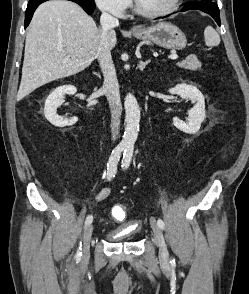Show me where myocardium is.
Here are the masks:
<instances>
[{
	"label": "myocardium",
	"instance_id": "myocardium-1",
	"mask_svg": "<svg viewBox=\"0 0 249 294\" xmlns=\"http://www.w3.org/2000/svg\"><path fill=\"white\" fill-rule=\"evenodd\" d=\"M183 1L184 0H175L174 3L169 8L160 10V11H151V10L145 9L144 7L141 6L139 0H132V4L134 7V10L138 14L148 18H156V17L166 16L175 12L180 7Z\"/></svg>",
	"mask_w": 249,
	"mask_h": 294
}]
</instances>
